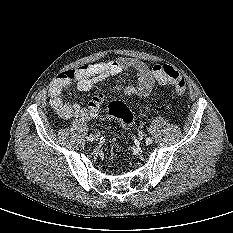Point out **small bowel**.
I'll use <instances>...</instances> for the list:
<instances>
[{"mask_svg":"<svg viewBox=\"0 0 233 233\" xmlns=\"http://www.w3.org/2000/svg\"><path fill=\"white\" fill-rule=\"evenodd\" d=\"M126 70H133L135 72L137 83L125 86L111 83L108 87V93L122 91L125 95L147 98L155 85L153 67L137 59L120 57L108 61L85 64L77 69L64 72L50 87V104L63 119L77 118L80 120H90L97 115L98 107L105 99V94H98L92 98L87 106H82L64 100L63 95L67 85L73 81L75 82L76 90L87 91L107 78L119 75Z\"/></svg>","mask_w":233,"mask_h":233,"instance_id":"1","label":"small bowel"}]
</instances>
